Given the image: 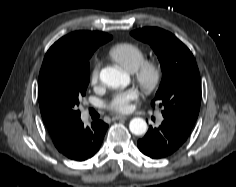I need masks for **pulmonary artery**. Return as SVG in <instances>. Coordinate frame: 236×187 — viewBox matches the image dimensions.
<instances>
[{
  "mask_svg": "<svg viewBox=\"0 0 236 187\" xmlns=\"http://www.w3.org/2000/svg\"><path fill=\"white\" fill-rule=\"evenodd\" d=\"M161 121H162V116L159 117V122H161Z\"/></svg>",
  "mask_w": 236,
  "mask_h": 187,
  "instance_id": "obj_1",
  "label": "pulmonary artery"
}]
</instances>
